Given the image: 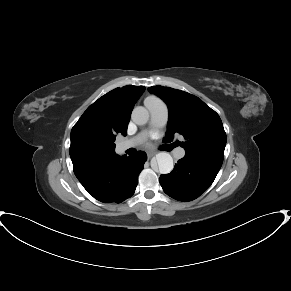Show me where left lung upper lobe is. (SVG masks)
I'll use <instances>...</instances> for the list:
<instances>
[{
    "label": "left lung upper lobe",
    "instance_id": "left-lung-upper-lobe-1",
    "mask_svg": "<svg viewBox=\"0 0 291 291\" xmlns=\"http://www.w3.org/2000/svg\"><path fill=\"white\" fill-rule=\"evenodd\" d=\"M148 90L164 100L169 108L165 143L179 133L186 140L181 143L186 155L223 162L226 133L214 110L198 97L181 90L164 86H152Z\"/></svg>",
    "mask_w": 291,
    "mask_h": 291
}]
</instances>
